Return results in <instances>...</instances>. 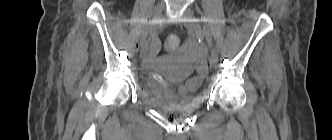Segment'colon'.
Segmentation results:
<instances>
[{
  "instance_id": "1",
  "label": "colon",
  "mask_w": 332,
  "mask_h": 140,
  "mask_svg": "<svg viewBox=\"0 0 332 140\" xmlns=\"http://www.w3.org/2000/svg\"><path fill=\"white\" fill-rule=\"evenodd\" d=\"M179 45V38L175 35H171L167 37V39L164 42V49L167 52H173L177 49Z\"/></svg>"
}]
</instances>
